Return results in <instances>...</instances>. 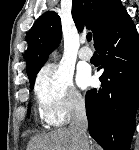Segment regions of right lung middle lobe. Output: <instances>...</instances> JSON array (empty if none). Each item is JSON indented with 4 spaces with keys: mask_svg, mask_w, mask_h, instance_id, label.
Segmentation results:
<instances>
[{
    "mask_svg": "<svg viewBox=\"0 0 139 150\" xmlns=\"http://www.w3.org/2000/svg\"><path fill=\"white\" fill-rule=\"evenodd\" d=\"M34 81H35V79L30 82V87H31V88L34 87ZM30 108H31V105H29V107H28V114L30 113Z\"/></svg>",
    "mask_w": 139,
    "mask_h": 150,
    "instance_id": "obj_1",
    "label": "right lung middle lobe"
}]
</instances>
